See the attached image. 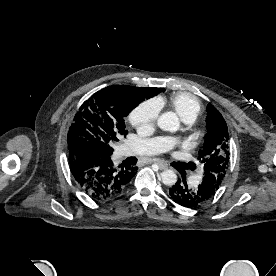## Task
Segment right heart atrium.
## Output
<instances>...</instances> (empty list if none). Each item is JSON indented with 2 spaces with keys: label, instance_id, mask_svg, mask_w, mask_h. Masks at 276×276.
<instances>
[{
  "label": "right heart atrium",
  "instance_id": "1",
  "mask_svg": "<svg viewBox=\"0 0 276 276\" xmlns=\"http://www.w3.org/2000/svg\"><path fill=\"white\" fill-rule=\"evenodd\" d=\"M159 112L158 102L145 101L131 111L129 121L138 131L147 133L154 129Z\"/></svg>",
  "mask_w": 276,
  "mask_h": 276
}]
</instances>
